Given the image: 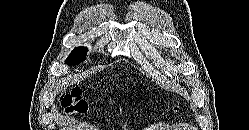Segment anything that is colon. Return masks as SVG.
Returning a JSON list of instances; mask_svg holds the SVG:
<instances>
[{
	"label": "colon",
	"instance_id": "1",
	"mask_svg": "<svg viewBox=\"0 0 249 130\" xmlns=\"http://www.w3.org/2000/svg\"><path fill=\"white\" fill-rule=\"evenodd\" d=\"M81 90L73 88L71 91L61 95L60 103L67 114H84L87 111V105L81 97Z\"/></svg>",
	"mask_w": 249,
	"mask_h": 130
}]
</instances>
